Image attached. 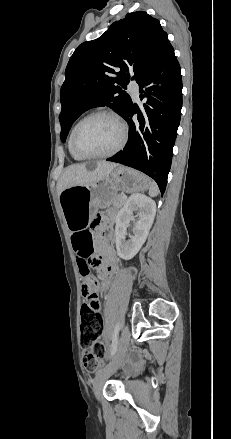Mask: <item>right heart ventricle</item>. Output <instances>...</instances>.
<instances>
[{"mask_svg": "<svg viewBox=\"0 0 231 439\" xmlns=\"http://www.w3.org/2000/svg\"><path fill=\"white\" fill-rule=\"evenodd\" d=\"M68 148H69V151H70V154L72 155V157L75 159V160H82L83 158H81L80 156H78L72 149H71V146H70V139H69V142H68Z\"/></svg>", "mask_w": 231, "mask_h": 439, "instance_id": "1", "label": "right heart ventricle"}]
</instances>
